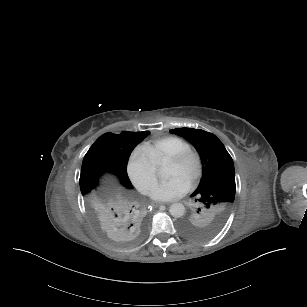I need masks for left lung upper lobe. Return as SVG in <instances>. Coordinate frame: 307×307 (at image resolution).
I'll return each mask as SVG.
<instances>
[{
	"instance_id": "left-lung-upper-lobe-1",
	"label": "left lung upper lobe",
	"mask_w": 307,
	"mask_h": 307,
	"mask_svg": "<svg viewBox=\"0 0 307 307\" xmlns=\"http://www.w3.org/2000/svg\"><path fill=\"white\" fill-rule=\"evenodd\" d=\"M171 133L189 141L201 157L203 174L192 194L196 208L180 223L184 235L205 240L224 226L235 198V170L231 156L212 133L200 129L176 128Z\"/></svg>"
}]
</instances>
